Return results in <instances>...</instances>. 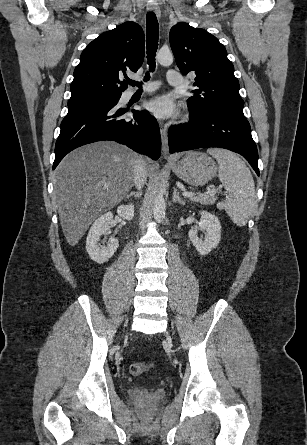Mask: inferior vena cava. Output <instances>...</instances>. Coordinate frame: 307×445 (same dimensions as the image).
I'll return each instance as SVG.
<instances>
[{"label":"inferior vena cava","mask_w":307,"mask_h":445,"mask_svg":"<svg viewBox=\"0 0 307 445\" xmlns=\"http://www.w3.org/2000/svg\"><path fill=\"white\" fill-rule=\"evenodd\" d=\"M145 162L143 158H136V162L134 164V182L135 186H137L138 190L142 188L146 178H147V170H145L144 166Z\"/></svg>","instance_id":"1"}]
</instances>
